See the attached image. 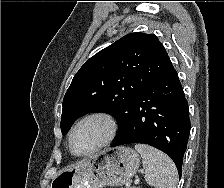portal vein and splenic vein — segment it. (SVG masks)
I'll use <instances>...</instances> for the list:
<instances>
[{
	"instance_id": "portal-vein-and-splenic-vein-1",
	"label": "portal vein and splenic vein",
	"mask_w": 224,
	"mask_h": 188,
	"mask_svg": "<svg viewBox=\"0 0 224 188\" xmlns=\"http://www.w3.org/2000/svg\"><path fill=\"white\" fill-rule=\"evenodd\" d=\"M135 183H139V178H136ZM126 188H130V183L126 184Z\"/></svg>"
}]
</instances>
